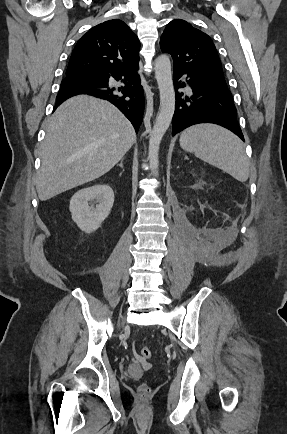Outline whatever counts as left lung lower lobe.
Here are the masks:
<instances>
[{
	"mask_svg": "<svg viewBox=\"0 0 287 434\" xmlns=\"http://www.w3.org/2000/svg\"><path fill=\"white\" fill-rule=\"evenodd\" d=\"M182 74H187L189 78L187 83L192 89L191 96L177 92L185 86L184 82L178 80ZM173 75L176 105L172 118V135L194 124L214 123L231 130L244 141L237 122V110L228 87L183 68L173 67Z\"/></svg>",
	"mask_w": 287,
	"mask_h": 434,
	"instance_id": "0a47b994",
	"label": "left lung lower lobe"
}]
</instances>
